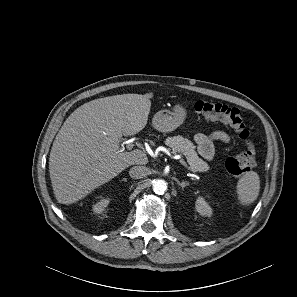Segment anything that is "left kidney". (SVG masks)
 <instances>
[{"mask_svg":"<svg viewBox=\"0 0 297 297\" xmlns=\"http://www.w3.org/2000/svg\"><path fill=\"white\" fill-rule=\"evenodd\" d=\"M196 211L202 216L210 217L212 215V208L202 197H198L195 202Z\"/></svg>","mask_w":297,"mask_h":297,"instance_id":"left-kidney-1","label":"left kidney"}]
</instances>
